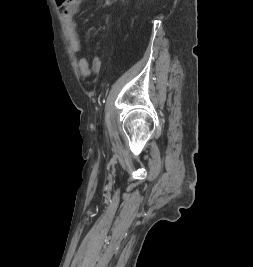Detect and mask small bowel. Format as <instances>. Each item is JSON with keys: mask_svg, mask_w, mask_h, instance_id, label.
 <instances>
[{"mask_svg": "<svg viewBox=\"0 0 253 267\" xmlns=\"http://www.w3.org/2000/svg\"><path fill=\"white\" fill-rule=\"evenodd\" d=\"M84 0H75V2L69 6H62L58 2L59 12L65 24L67 37L69 40L72 53L78 58V64L81 70L88 68V61L82 55L83 45L81 40V34L76 20V14L79 11L80 5ZM116 0H105L104 6L109 7ZM103 62L102 57L94 59V66H100Z\"/></svg>", "mask_w": 253, "mask_h": 267, "instance_id": "1", "label": "small bowel"}]
</instances>
